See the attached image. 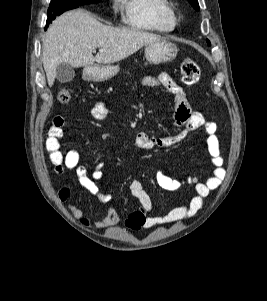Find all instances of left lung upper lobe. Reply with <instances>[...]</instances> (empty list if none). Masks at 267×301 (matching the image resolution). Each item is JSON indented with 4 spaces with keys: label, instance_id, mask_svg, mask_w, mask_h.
<instances>
[{
    "label": "left lung upper lobe",
    "instance_id": "obj_1",
    "mask_svg": "<svg viewBox=\"0 0 267 301\" xmlns=\"http://www.w3.org/2000/svg\"><path fill=\"white\" fill-rule=\"evenodd\" d=\"M190 4L194 7L195 10H199V4L197 0H188ZM208 45H210V41L207 40Z\"/></svg>",
    "mask_w": 267,
    "mask_h": 301
}]
</instances>
